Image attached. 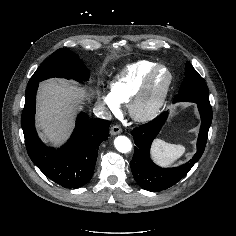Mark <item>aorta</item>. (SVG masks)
Segmentation results:
<instances>
[{
  "label": "aorta",
  "mask_w": 236,
  "mask_h": 236,
  "mask_svg": "<svg viewBox=\"0 0 236 236\" xmlns=\"http://www.w3.org/2000/svg\"><path fill=\"white\" fill-rule=\"evenodd\" d=\"M115 148L121 153H127L132 149V143L126 136H118L114 140Z\"/></svg>",
  "instance_id": "obj_1"
}]
</instances>
